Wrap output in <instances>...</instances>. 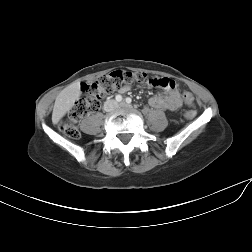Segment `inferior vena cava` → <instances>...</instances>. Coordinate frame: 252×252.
<instances>
[{"mask_svg":"<svg viewBox=\"0 0 252 252\" xmlns=\"http://www.w3.org/2000/svg\"><path fill=\"white\" fill-rule=\"evenodd\" d=\"M107 103H113L114 105H116V102L115 101H109V102H107ZM107 103H106V105H105V109L107 110Z\"/></svg>","mask_w":252,"mask_h":252,"instance_id":"602c4592","label":"inferior vena cava"}]
</instances>
